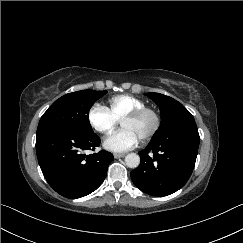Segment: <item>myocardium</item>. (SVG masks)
Listing matches in <instances>:
<instances>
[{
    "label": "myocardium",
    "mask_w": 243,
    "mask_h": 243,
    "mask_svg": "<svg viewBox=\"0 0 243 243\" xmlns=\"http://www.w3.org/2000/svg\"><path fill=\"white\" fill-rule=\"evenodd\" d=\"M145 115H150L153 119V126L150 129V131L147 133V135L141 139V141L143 143L150 141L158 132V130L160 129L161 126V117L159 115V113L149 107H143L140 109H136L132 112H130L129 114L125 115L122 119L121 122H123L124 120H136L139 119Z\"/></svg>",
    "instance_id": "myocardium-1"
}]
</instances>
